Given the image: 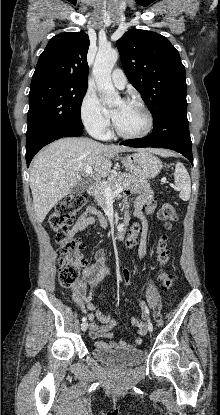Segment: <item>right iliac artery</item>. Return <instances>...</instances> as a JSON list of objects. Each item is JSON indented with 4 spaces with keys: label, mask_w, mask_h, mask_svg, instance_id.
I'll use <instances>...</instances> for the list:
<instances>
[{
    "label": "right iliac artery",
    "mask_w": 220,
    "mask_h": 415,
    "mask_svg": "<svg viewBox=\"0 0 220 415\" xmlns=\"http://www.w3.org/2000/svg\"><path fill=\"white\" fill-rule=\"evenodd\" d=\"M87 320L86 317H82V321L85 322Z\"/></svg>",
    "instance_id": "82829eb1"
}]
</instances>
